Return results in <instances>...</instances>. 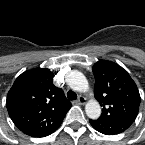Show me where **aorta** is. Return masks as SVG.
<instances>
[{
    "label": "aorta",
    "instance_id": "obj_1",
    "mask_svg": "<svg viewBox=\"0 0 145 145\" xmlns=\"http://www.w3.org/2000/svg\"><path fill=\"white\" fill-rule=\"evenodd\" d=\"M68 84L73 90L78 92H86L89 89L88 80L79 71L70 72ZM85 112L90 119H97L101 115V107L98 101H88L85 106Z\"/></svg>",
    "mask_w": 145,
    "mask_h": 145
}]
</instances>
